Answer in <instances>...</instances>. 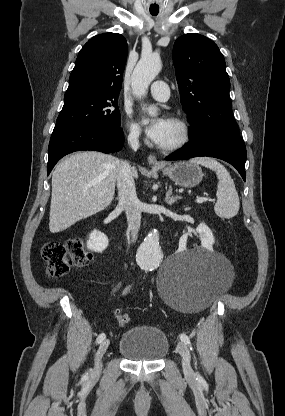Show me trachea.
I'll list each match as a JSON object with an SVG mask.
<instances>
[{
	"label": "trachea",
	"instance_id": "trachea-1",
	"mask_svg": "<svg viewBox=\"0 0 285 416\" xmlns=\"http://www.w3.org/2000/svg\"><path fill=\"white\" fill-rule=\"evenodd\" d=\"M151 15H154V16H155V15H157V14H153V13H152Z\"/></svg>",
	"mask_w": 285,
	"mask_h": 416
}]
</instances>
